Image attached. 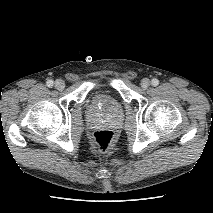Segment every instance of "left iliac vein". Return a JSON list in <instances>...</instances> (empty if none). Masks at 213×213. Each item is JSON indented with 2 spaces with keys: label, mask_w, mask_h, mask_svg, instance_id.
I'll return each instance as SVG.
<instances>
[{
  "label": "left iliac vein",
  "mask_w": 213,
  "mask_h": 213,
  "mask_svg": "<svg viewBox=\"0 0 213 213\" xmlns=\"http://www.w3.org/2000/svg\"><path fill=\"white\" fill-rule=\"evenodd\" d=\"M149 85H150V80L149 79H147V78L142 79V81H141V87L143 89L148 88Z\"/></svg>",
  "instance_id": "4c4485c4"
}]
</instances>
